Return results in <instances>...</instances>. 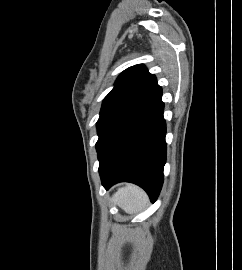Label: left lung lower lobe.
Returning <instances> with one entry per match:
<instances>
[{
    "instance_id": "obj_1",
    "label": "left lung lower lobe",
    "mask_w": 242,
    "mask_h": 270,
    "mask_svg": "<svg viewBox=\"0 0 242 270\" xmlns=\"http://www.w3.org/2000/svg\"><path fill=\"white\" fill-rule=\"evenodd\" d=\"M162 89L121 118L108 132L99 148L102 185L126 181L141 186L154 202L163 184L166 162V125Z\"/></svg>"
}]
</instances>
